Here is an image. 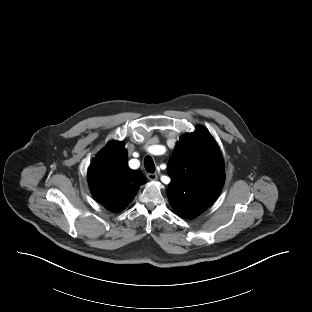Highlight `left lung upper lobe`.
I'll return each mask as SVG.
<instances>
[{
    "mask_svg": "<svg viewBox=\"0 0 312 312\" xmlns=\"http://www.w3.org/2000/svg\"><path fill=\"white\" fill-rule=\"evenodd\" d=\"M168 173L172 181L166 193L181 217L193 218L217 199L225 180L224 162L208 130L197 127L180 139Z\"/></svg>",
    "mask_w": 312,
    "mask_h": 312,
    "instance_id": "1",
    "label": "left lung upper lobe"
}]
</instances>
